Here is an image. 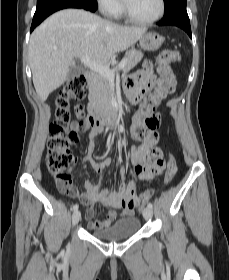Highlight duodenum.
<instances>
[{
	"label": "duodenum",
	"mask_w": 229,
	"mask_h": 280,
	"mask_svg": "<svg viewBox=\"0 0 229 280\" xmlns=\"http://www.w3.org/2000/svg\"><path fill=\"white\" fill-rule=\"evenodd\" d=\"M85 79L89 82L95 80V75L91 71L84 73ZM89 121L93 129L102 131L106 127L118 125L120 122L119 107L117 98H113L110 106L106 110H101L93 105L89 106Z\"/></svg>",
	"instance_id": "1"
}]
</instances>
